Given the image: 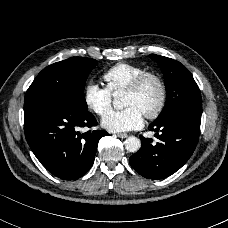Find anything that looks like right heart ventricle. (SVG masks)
<instances>
[{"label": "right heart ventricle", "instance_id": "right-heart-ventricle-1", "mask_svg": "<svg viewBox=\"0 0 228 228\" xmlns=\"http://www.w3.org/2000/svg\"><path fill=\"white\" fill-rule=\"evenodd\" d=\"M145 72L147 69L142 66L122 62L108 68L103 73V78L112 95H116L120 91H125L139 75Z\"/></svg>", "mask_w": 228, "mask_h": 228}]
</instances>
